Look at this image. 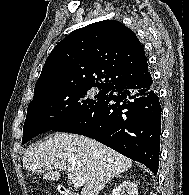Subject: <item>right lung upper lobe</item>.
I'll return each mask as SVG.
<instances>
[{
	"label": "right lung upper lobe",
	"instance_id": "obj_1",
	"mask_svg": "<svg viewBox=\"0 0 189 195\" xmlns=\"http://www.w3.org/2000/svg\"><path fill=\"white\" fill-rule=\"evenodd\" d=\"M147 66L144 49L131 29L115 20L96 22L56 45L36 82L33 100L75 86L108 88L141 75Z\"/></svg>",
	"mask_w": 189,
	"mask_h": 195
}]
</instances>
